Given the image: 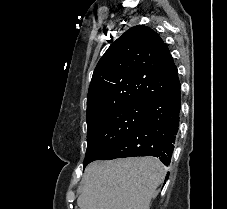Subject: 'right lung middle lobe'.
<instances>
[{
    "label": "right lung middle lobe",
    "mask_w": 227,
    "mask_h": 209,
    "mask_svg": "<svg viewBox=\"0 0 227 209\" xmlns=\"http://www.w3.org/2000/svg\"><path fill=\"white\" fill-rule=\"evenodd\" d=\"M102 111L87 119V150L83 167L100 160L142 120L147 104L122 98L101 101Z\"/></svg>",
    "instance_id": "obj_1"
}]
</instances>
